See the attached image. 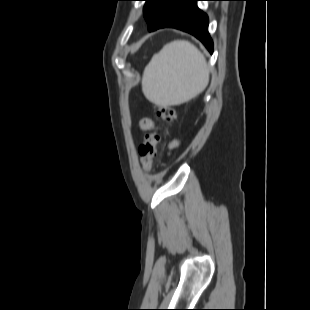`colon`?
Returning a JSON list of instances; mask_svg holds the SVG:
<instances>
[{
  "label": "colon",
  "mask_w": 310,
  "mask_h": 310,
  "mask_svg": "<svg viewBox=\"0 0 310 310\" xmlns=\"http://www.w3.org/2000/svg\"><path fill=\"white\" fill-rule=\"evenodd\" d=\"M156 113L160 119L157 128L147 132L144 140L139 146L142 167L146 171H152L154 159L156 158L159 145L163 140V132L167 124L172 123L176 118V112L170 104L161 103L156 106Z\"/></svg>",
  "instance_id": "obj_1"
}]
</instances>
